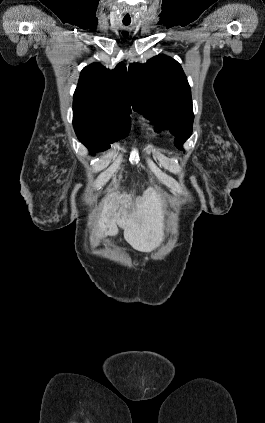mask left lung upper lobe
<instances>
[{"label":"left lung upper lobe","mask_w":265,"mask_h":423,"mask_svg":"<svg viewBox=\"0 0 265 423\" xmlns=\"http://www.w3.org/2000/svg\"><path fill=\"white\" fill-rule=\"evenodd\" d=\"M134 109L156 122V129H169L182 149L192 134L194 120L191 89L181 65L166 55L145 64L132 63L128 70Z\"/></svg>","instance_id":"obj_1"}]
</instances>
